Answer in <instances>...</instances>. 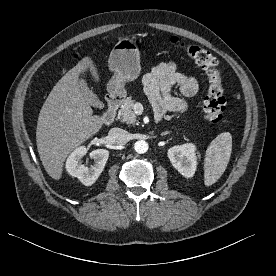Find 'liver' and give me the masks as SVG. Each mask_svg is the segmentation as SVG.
<instances>
[{
    "mask_svg": "<svg viewBox=\"0 0 276 276\" xmlns=\"http://www.w3.org/2000/svg\"><path fill=\"white\" fill-rule=\"evenodd\" d=\"M87 70L98 82L93 60L83 58L56 83L39 113L37 149L46 172L55 180L61 178L67 156L104 124L102 117L93 115L80 89L79 76Z\"/></svg>",
    "mask_w": 276,
    "mask_h": 276,
    "instance_id": "liver-1",
    "label": "liver"
}]
</instances>
